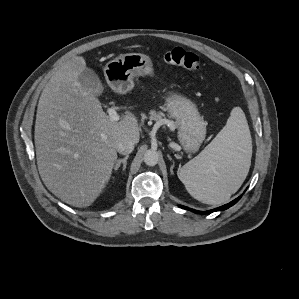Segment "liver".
<instances>
[{"instance_id":"1","label":"liver","mask_w":299,"mask_h":299,"mask_svg":"<svg viewBox=\"0 0 299 299\" xmlns=\"http://www.w3.org/2000/svg\"><path fill=\"white\" fill-rule=\"evenodd\" d=\"M86 69L82 56L68 60L51 77L39 99L35 148L47 189L74 207H88L102 193L117 161V144L139 141L136 116L126 111L110 120L97 98L78 80Z\"/></svg>"}]
</instances>
